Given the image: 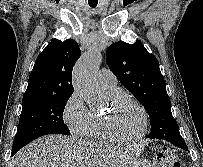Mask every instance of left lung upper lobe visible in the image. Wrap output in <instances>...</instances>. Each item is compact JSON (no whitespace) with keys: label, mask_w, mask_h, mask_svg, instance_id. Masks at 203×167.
<instances>
[{"label":"left lung upper lobe","mask_w":203,"mask_h":167,"mask_svg":"<svg viewBox=\"0 0 203 167\" xmlns=\"http://www.w3.org/2000/svg\"><path fill=\"white\" fill-rule=\"evenodd\" d=\"M106 62L122 85L146 109L151 120L148 138L164 139L172 134L181 137L157 58L141 42L119 41L108 48Z\"/></svg>","instance_id":"1"}]
</instances>
